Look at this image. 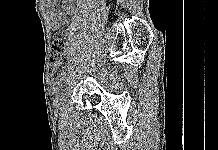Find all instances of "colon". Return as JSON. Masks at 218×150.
<instances>
[{"label": "colon", "mask_w": 218, "mask_h": 150, "mask_svg": "<svg viewBox=\"0 0 218 150\" xmlns=\"http://www.w3.org/2000/svg\"><path fill=\"white\" fill-rule=\"evenodd\" d=\"M66 41L63 35H57L53 41L51 48V60L52 62H58L65 50Z\"/></svg>", "instance_id": "1"}]
</instances>
